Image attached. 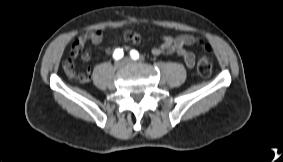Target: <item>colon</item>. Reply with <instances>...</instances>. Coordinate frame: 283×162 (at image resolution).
Returning <instances> with one entry per match:
<instances>
[{
	"label": "colon",
	"instance_id": "colon-1",
	"mask_svg": "<svg viewBox=\"0 0 283 162\" xmlns=\"http://www.w3.org/2000/svg\"><path fill=\"white\" fill-rule=\"evenodd\" d=\"M196 43L198 44V46L203 51V54L201 55V57L198 61V64H197V71H198L199 75H201L202 77H209L212 73V68H213L212 60H211V57L209 55L210 46L208 45V43L205 40H203L201 38H197ZM73 78H75L76 80H78L80 82H87L90 79V74H88L86 72L75 73L73 75Z\"/></svg>",
	"mask_w": 283,
	"mask_h": 162
}]
</instances>
